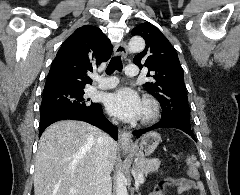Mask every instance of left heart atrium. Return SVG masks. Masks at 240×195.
Segmentation results:
<instances>
[{
	"instance_id": "obj_1",
	"label": "left heart atrium",
	"mask_w": 240,
	"mask_h": 195,
	"mask_svg": "<svg viewBox=\"0 0 240 195\" xmlns=\"http://www.w3.org/2000/svg\"><path fill=\"white\" fill-rule=\"evenodd\" d=\"M108 109L124 121L137 120L141 115L142 104L139 95L127 88H121L107 97Z\"/></svg>"
}]
</instances>
